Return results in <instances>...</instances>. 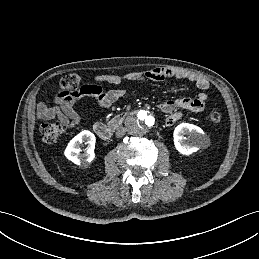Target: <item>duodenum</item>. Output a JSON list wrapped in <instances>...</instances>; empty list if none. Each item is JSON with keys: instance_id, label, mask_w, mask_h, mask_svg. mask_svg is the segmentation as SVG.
Here are the masks:
<instances>
[{"instance_id": "duodenum-1", "label": "duodenum", "mask_w": 259, "mask_h": 259, "mask_svg": "<svg viewBox=\"0 0 259 259\" xmlns=\"http://www.w3.org/2000/svg\"><path fill=\"white\" fill-rule=\"evenodd\" d=\"M126 114L115 116L109 123L97 122L94 125V131L97 136L103 140L111 138L114 130L118 129L126 118Z\"/></svg>"}]
</instances>
